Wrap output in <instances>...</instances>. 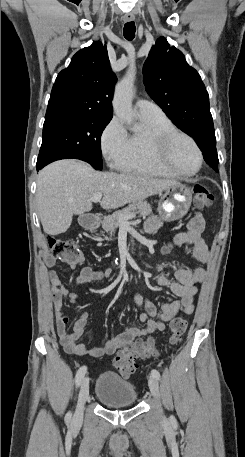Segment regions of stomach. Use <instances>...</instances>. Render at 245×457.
<instances>
[{
    "mask_svg": "<svg viewBox=\"0 0 245 457\" xmlns=\"http://www.w3.org/2000/svg\"><path fill=\"white\" fill-rule=\"evenodd\" d=\"M192 200V192L186 184H172L165 188L161 198L159 200L158 212L163 220H178L183 218L186 212L190 208ZM79 222H81L79 218ZM82 226H86V229L93 231L95 229V222L87 220V222H81Z\"/></svg>",
    "mask_w": 245,
    "mask_h": 457,
    "instance_id": "stomach-1",
    "label": "stomach"
}]
</instances>
